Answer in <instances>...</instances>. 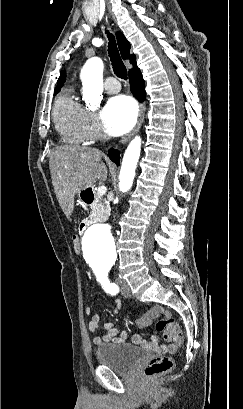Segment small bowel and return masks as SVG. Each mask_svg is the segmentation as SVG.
<instances>
[{
    "mask_svg": "<svg viewBox=\"0 0 243 409\" xmlns=\"http://www.w3.org/2000/svg\"><path fill=\"white\" fill-rule=\"evenodd\" d=\"M85 312L87 315H92L93 310L91 307H86ZM118 312V307L115 308V313ZM101 327V318L98 314L92 315L91 321L89 323V330L92 333L97 332ZM104 333L102 335L96 336L93 342L96 345H101L103 343H126L128 340V334L125 330L119 331L112 322H107L103 325ZM170 343L168 345L159 344L157 338L152 336L148 341L142 340L139 335H133L131 340L135 344L142 345L156 353H175L178 349V342L175 337L166 338Z\"/></svg>",
    "mask_w": 243,
    "mask_h": 409,
    "instance_id": "small-bowel-1",
    "label": "small bowel"
}]
</instances>
